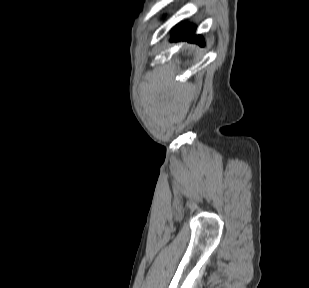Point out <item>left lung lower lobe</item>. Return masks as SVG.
<instances>
[{
  "label": "left lung lower lobe",
  "mask_w": 309,
  "mask_h": 288,
  "mask_svg": "<svg viewBox=\"0 0 309 288\" xmlns=\"http://www.w3.org/2000/svg\"><path fill=\"white\" fill-rule=\"evenodd\" d=\"M195 27L188 24L177 25L173 29V37L171 41L188 40L190 42L198 43L203 46V38L199 35H194Z\"/></svg>",
  "instance_id": "1"
}]
</instances>
